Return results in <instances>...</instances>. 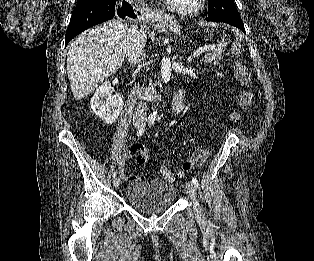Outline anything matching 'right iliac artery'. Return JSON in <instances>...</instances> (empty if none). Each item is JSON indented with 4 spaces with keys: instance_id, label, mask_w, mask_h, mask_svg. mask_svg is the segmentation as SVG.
Wrapping results in <instances>:
<instances>
[{
    "instance_id": "obj_1",
    "label": "right iliac artery",
    "mask_w": 314,
    "mask_h": 261,
    "mask_svg": "<svg viewBox=\"0 0 314 261\" xmlns=\"http://www.w3.org/2000/svg\"><path fill=\"white\" fill-rule=\"evenodd\" d=\"M145 126H146V123H144L141 128L138 130L137 132V136L140 137L143 135L144 131H145ZM112 176L115 178L117 176V173L116 172H113Z\"/></svg>"
}]
</instances>
